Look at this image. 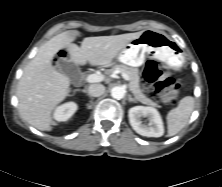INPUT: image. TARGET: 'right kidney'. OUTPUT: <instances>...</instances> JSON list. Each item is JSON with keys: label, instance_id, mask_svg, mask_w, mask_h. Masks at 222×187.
<instances>
[{"label": "right kidney", "instance_id": "right-kidney-1", "mask_svg": "<svg viewBox=\"0 0 222 187\" xmlns=\"http://www.w3.org/2000/svg\"><path fill=\"white\" fill-rule=\"evenodd\" d=\"M77 104L74 102L65 103L56 108L54 119L58 122L67 121L77 110Z\"/></svg>", "mask_w": 222, "mask_h": 187}]
</instances>
